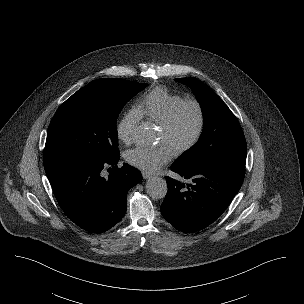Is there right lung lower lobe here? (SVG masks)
<instances>
[{"label": "right lung lower lobe", "mask_w": 304, "mask_h": 304, "mask_svg": "<svg viewBox=\"0 0 304 304\" xmlns=\"http://www.w3.org/2000/svg\"><path fill=\"white\" fill-rule=\"evenodd\" d=\"M119 158L45 167L60 207L86 231L101 233L117 224L126 212L128 190L142 180L139 170L126 163L117 168ZM109 165L113 171L105 178Z\"/></svg>", "instance_id": "right-lung-lower-lobe-1"}]
</instances>
